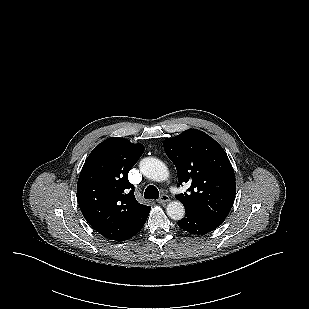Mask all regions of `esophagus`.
Instances as JSON below:
<instances>
[{
	"mask_svg": "<svg viewBox=\"0 0 309 309\" xmlns=\"http://www.w3.org/2000/svg\"><path fill=\"white\" fill-rule=\"evenodd\" d=\"M169 200H170V198H169V196L167 194H162L160 196V198L157 200V202L159 204H164V203L168 202Z\"/></svg>",
	"mask_w": 309,
	"mask_h": 309,
	"instance_id": "obj_1",
	"label": "esophagus"
}]
</instances>
